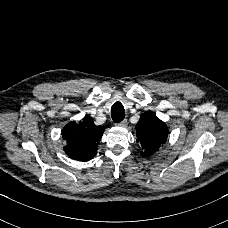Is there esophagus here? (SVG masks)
<instances>
[{"label": "esophagus", "instance_id": "obj_1", "mask_svg": "<svg viewBox=\"0 0 228 228\" xmlns=\"http://www.w3.org/2000/svg\"><path fill=\"white\" fill-rule=\"evenodd\" d=\"M116 125L120 126V127H126L128 125V122L125 119V120H122L121 122L117 123Z\"/></svg>", "mask_w": 228, "mask_h": 228}]
</instances>
